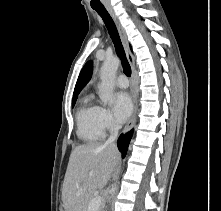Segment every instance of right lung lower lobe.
I'll use <instances>...</instances> for the list:
<instances>
[{
    "mask_svg": "<svg viewBox=\"0 0 221 211\" xmlns=\"http://www.w3.org/2000/svg\"><path fill=\"white\" fill-rule=\"evenodd\" d=\"M132 133L133 131H130L125 135H121L118 139L117 145L123 157L126 155L127 148H128L130 139L132 137Z\"/></svg>",
    "mask_w": 221,
    "mask_h": 211,
    "instance_id": "1",
    "label": "right lung lower lobe"
}]
</instances>
